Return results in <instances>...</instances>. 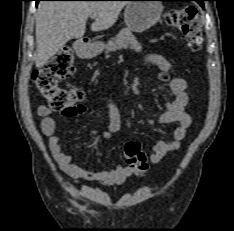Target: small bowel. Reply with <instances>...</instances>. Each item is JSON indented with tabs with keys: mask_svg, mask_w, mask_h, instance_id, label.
Here are the masks:
<instances>
[{
	"mask_svg": "<svg viewBox=\"0 0 234 231\" xmlns=\"http://www.w3.org/2000/svg\"><path fill=\"white\" fill-rule=\"evenodd\" d=\"M148 60L157 65L162 71L168 72L171 69V64L162 55L152 54L148 57ZM169 87L172 98L164 103V110L162 112L152 113L150 116L161 124L177 123L178 126L174 129L171 140H160L154 145L150 156L152 164L160 163L167 154L177 151L192 124V118L186 110L188 93L185 80L181 77H173ZM105 103L108 111L109 125L103 136L109 138L120 132L122 114L118 104L112 98L106 97ZM137 108L141 112H146L140 103H137ZM86 112V106L78 104L70 110L63 111V115L65 117L81 116L86 114ZM37 114L40 118L41 131L48 140L50 152L61 170L68 177L82 181L100 182L104 185L112 186L124 183L129 176L135 173V169L132 166L122 165H116L111 169L101 171H90L81 168L76 164L75 157L63 151L60 135L56 131L55 119L51 116V108L41 105L37 109Z\"/></svg>",
	"mask_w": 234,
	"mask_h": 231,
	"instance_id": "c3829d8e",
	"label": "small bowel"
}]
</instances>
